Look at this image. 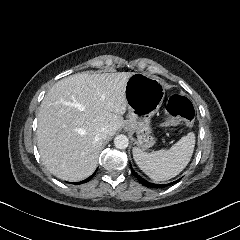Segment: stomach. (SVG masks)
Masks as SVG:
<instances>
[{
	"label": "stomach",
	"mask_w": 240,
	"mask_h": 240,
	"mask_svg": "<svg viewBox=\"0 0 240 240\" xmlns=\"http://www.w3.org/2000/svg\"><path fill=\"white\" fill-rule=\"evenodd\" d=\"M165 81L157 76L136 72L125 86L128 120L125 127L137 135L141 148L150 147L155 139L150 135V118L158 112L165 97Z\"/></svg>",
	"instance_id": "1"
}]
</instances>
